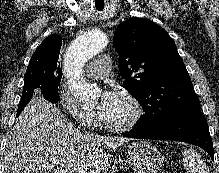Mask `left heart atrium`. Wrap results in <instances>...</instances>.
Segmentation results:
<instances>
[{"label": "left heart atrium", "instance_id": "1", "mask_svg": "<svg viewBox=\"0 0 219 173\" xmlns=\"http://www.w3.org/2000/svg\"><path fill=\"white\" fill-rule=\"evenodd\" d=\"M115 96H116V92L112 90H106L102 93L97 107V111L100 117L102 118L104 117L110 105L114 101Z\"/></svg>", "mask_w": 219, "mask_h": 173}]
</instances>
